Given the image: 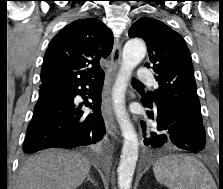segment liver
Instances as JSON below:
<instances>
[{"instance_id":"liver-1","label":"liver","mask_w":223,"mask_h":189,"mask_svg":"<svg viewBox=\"0 0 223 189\" xmlns=\"http://www.w3.org/2000/svg\"><path fill=\"white\" fill-rule=\"evenodd\" d=\"M89 171L90 161L79 153L45 150L22 165L17 189H75Z\"/></svg>"}]
</instances>
